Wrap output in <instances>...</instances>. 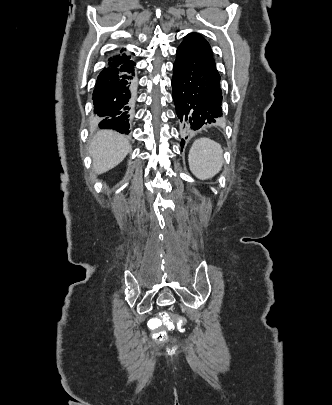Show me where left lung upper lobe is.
Here are the masks:
<instances>
[{
    "instance_id": "5c2ea615",
    "label": "left lung upper lobe",
    "mask_w": 332,
    "mask_h": 405,
    "mask_svg": "<svg viewBox=\"0 0 332 405\" xmlns=\"http://www.w3.org/2000/svg\"><path fill=\"white\" fill-rule=\"evenodd\" d=\"M181 44L200 52L207 59L215 63L209 43L200 34L190 33L186 35Z\"/></svg>"
}]
</instances>
